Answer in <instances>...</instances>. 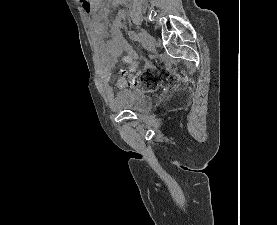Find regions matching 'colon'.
<instances>
[{
    "instance_id": "1",
    "label": "colon",
    "mask_w": 277,
    "mask_h": 225,
    "mask_svg": "<svg viewBox=\"0 0 277 225\" xmlns=\"http://www.w3.org/2000/svg\"><path fill=\"white\" fill-rule=\"evenodd\" d=\"M123 62L126 65H130L131 58L128 56L124 57ZM123 73H126V70H124ZM128 82L132 86L144 92H152L157 88L156 73L151 68L140 70L134 74H131Z\"/></svg>"
}]
</instances>
